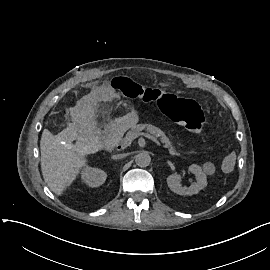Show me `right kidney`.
<instances>
[{
	"label": "right kidney",
	"instance_id": "1",
	"mask_svg": "<svg viewBox=\"0 0 270 270\" xmlns=\"http://www.w3.org/2000/svg\"><path fill=\"white\" fill-rule=\"evenodd\" d=\"M107 178V174L98 168L85 166L81 171V179L90 187H98L102 185Z\"/></svg>",
	"mask_w": 270,
	"mask_h": 270
}]
</instances>
